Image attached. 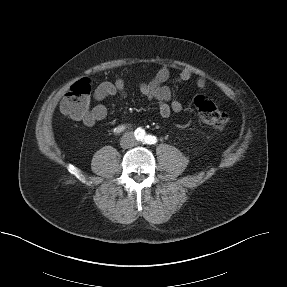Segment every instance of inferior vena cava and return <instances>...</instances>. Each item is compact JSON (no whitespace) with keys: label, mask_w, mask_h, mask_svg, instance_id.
<instances>
[{"label":"inferior vena cava","mask_w":287,"mask_h":287,"mask_svg":"<svg viewBox=\"0 0 287 287\" xmlns=\"http://www.w3.org/2000/svg\"><path fill=\"white\" fill-rule=\"evenodd\" d=\"M131 140H133V138L131 137ZM130 146H133V143L130 144Z\"/></svg>","instance_id":"602c4592"}]
</instances>
